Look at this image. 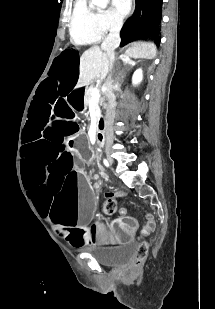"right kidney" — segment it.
<instances>
[{
	"instance_id": "obj_1",
	"label": "right kidney",
	"mask_w": 215,
	"mask_h": 309,
	"mask_svg": "<svg viewBox=\"0 0 215 309\" xmlns=\"http://www.w3.org/2000/svg\"><path fill=\"white\" fill-rule=\"evenodd\" d=\"M143 78V70L142 68H137L132 76L133 84H139Z\"/></svg>"
}]
</instances>
